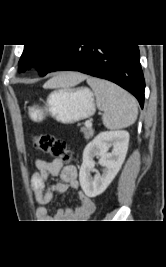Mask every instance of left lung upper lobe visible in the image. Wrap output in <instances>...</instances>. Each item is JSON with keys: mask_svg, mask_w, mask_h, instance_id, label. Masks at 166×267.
<instances>
[{"mask_svg": "<svg viewBox=\"0 0 166 267\" xmlns=\"http://www.w3.org/2000/svg\"><path fill=\"white\" fill-rule=\"evenodd\" d=\"M65 45H24L19 61V72L36 65L41 76H44L57 59Z\"/></svg>", "mask_w": 166, "mask_h": 267, "instance_id": "left-lung-upper-lobe-1", "label": "left lung upper lobe"}]
</instances>
